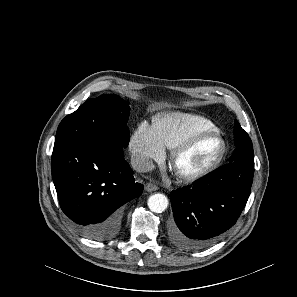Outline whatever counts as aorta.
<instances>
[{"label":"aorta","mask_w":297,"mask_h":297,"mask_svg":"<svg viewBox=\"0 0 297 297\" xmlns=\"http://www.w3.org/2000/svg\"><path fill=\"white\" fill-rule=\"evenodd\" d=\"M168 206V199L164 194H153L148 199V207L152 212L162 213Z\"/></svg>","instance_id":"1"}]
</instances>
